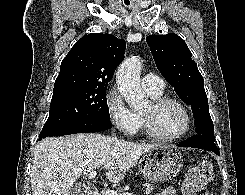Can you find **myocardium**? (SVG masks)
Segmentation results:
<instances>
[{"instance_id": "1", "label": "myocardium", "mask_w": 245, "mask_h": 195, "mask_svg": "<svg viewBox=\"0 0 245 195\" xmlns=\"http://www.w3.org/2000/svg\"><path fill=\"white\" fill-rule=\"evenodd\" d=\"M166 104H176L183 110L185 114L186 122H185V126L182 129V131H180L179 133L175 135H162L156 132L155 129L153 128L152 123H151L150 114H145V113H141L142 127H143L144 132L149 137L156 139V140L164 141V142H172V141H176V140L183 138L190 132L192 128V115H191L190 110L186 106V104L183 101L177 98H174V97L160 96L158 98L153 99L150 102L152 111H156Z\"/></svg>"}]
</instances>
